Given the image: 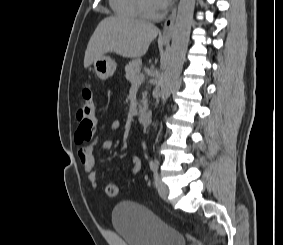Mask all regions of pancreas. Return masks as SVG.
Here are the masks:
<instances>
[{
	"label": "pancreas",
	"mask_w": 283,
	"mask_h": 245,
	"mask_svg": "<svg viewBox=\"0 0 283 245\" xmlns=\"http://www.w3.org/2000/svg\"><path fill=\"white\" fill-rule=\"evenodd\" d=\"M141 66L142 61L140 59L132 60L125 66V77L129 82L134 83L135 80L141 75ZM146 96L147 93L144 92L142 94V104L139 105L140 109L147 103Z\"/></svg>",
	"instance_id": "cf45deb5"
}]
</instances>
